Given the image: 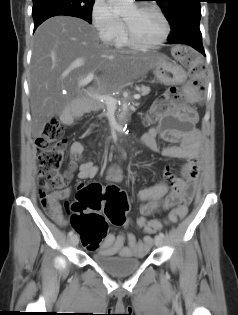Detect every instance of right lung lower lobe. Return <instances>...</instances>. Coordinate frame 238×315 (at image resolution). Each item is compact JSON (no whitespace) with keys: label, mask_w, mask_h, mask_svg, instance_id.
Segmentation results:
<instances>
[{"label":"right lung lower lobe","mask_w":238,"mask_h":315,"mask_svg":"<svg viewBox=\"0 0 238 315\" xmlns=\"http://www.w3.org/2000/svg\"><path fill=\"white\" fill-rule=\"evenodd\" d=\"M57 15H66V16H74V17H79L76 14H72V13H68V12H64V11H50V12H46V13H42L39 14L34 18V31L35 29L46 19L53 17V16H57ZM81 18V17H79Z\"/></svg>","instance_id":"98d812e1"}]
</instances>
